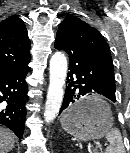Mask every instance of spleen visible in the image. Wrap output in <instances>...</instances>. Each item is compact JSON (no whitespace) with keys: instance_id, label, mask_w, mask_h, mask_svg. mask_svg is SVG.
Listing matches in <instances>:
<instances>
[{"instance_id":"1","label":"spleen","mask_w":130,"mask_h":153,"mask_svg":"<svg viewBox=\"0 0 130 153\" xmlns=\"http://www.w3.org/2000/svg\"><path fill=\"white\" fill-rule=\"evenodd\" d=\"M106 139L109 146L106 148V153H125V148L122 141V136L117 128H113L106 134Z\"/></svg>"}]
</instances>
